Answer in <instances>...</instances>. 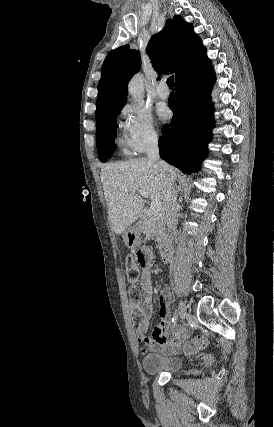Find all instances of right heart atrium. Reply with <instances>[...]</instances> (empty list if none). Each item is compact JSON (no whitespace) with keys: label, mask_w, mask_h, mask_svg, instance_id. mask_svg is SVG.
I'll list each match as a JSON object with an SVG mask.
<instances>
[{"label":"right heart atrium","mask_w":274,"mask_h":427,"mask_svg":"<svg viewBox=\"0 0 274 427\" xmlns=\"http://www.w3.org/2000/svg\"><path fill=\"white\" fill-rule=\"evenodd\" d=\"M126 142L131 150L141 153L157 144L159 134L145 108L134 107L124 113Z\"/></svg>","instance_id":"right-heart-atrium-1"}]
</instances>
